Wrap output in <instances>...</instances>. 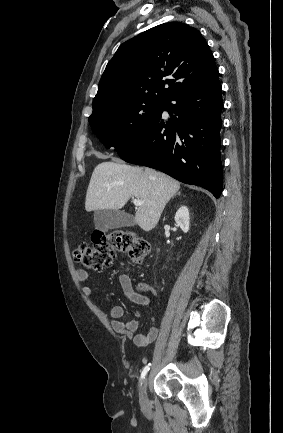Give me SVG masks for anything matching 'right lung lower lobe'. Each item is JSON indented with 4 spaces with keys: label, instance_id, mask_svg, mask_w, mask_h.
Segmentation results:
<instances>
[{
    "label": "right lung lower lobe",
    "instance_id": "98d812e1",
    "mask_svg": "<svg viewBox=\"0 0 283 433\" xmlns=\"http://www.w3.org/2000/svg\"><path fill=\"white\" fill-rule=\"evenodd\" d=\"M219 76L208 83L173 95L139 137L120 157L160 170L175 179L222 192L220 114L223 108ZM167 111L171 119L162 117Z\"/></svg>",
    "mask_w": 283,
    "mask_h": 433
}]
</instances>
